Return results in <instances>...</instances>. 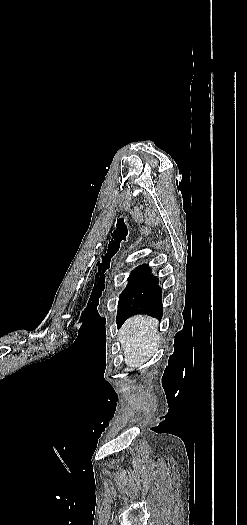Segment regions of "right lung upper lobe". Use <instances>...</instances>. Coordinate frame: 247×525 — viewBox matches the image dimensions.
I'll use <instances>...</instances> for the list:
<instances>
[{
  "label": "right lung upper lobe",
  "mask_w": 247,
  "mask_h": 525,
  "mask_svg": "<svg viewBox=\"0 0 247 525\" xmlns=\"http://www.w3.org/2000/svg\"><path fill=\"white\" fill-rule=\"evenodd\" d=\"M147 267H148L147 264H143V265H140L139 267H137L135 270H141V269H145Z\"/></svg>",
  "instance_id": "obj_1"
}]
</instances>
